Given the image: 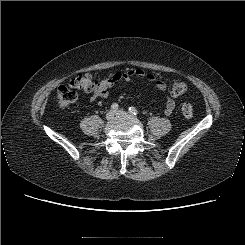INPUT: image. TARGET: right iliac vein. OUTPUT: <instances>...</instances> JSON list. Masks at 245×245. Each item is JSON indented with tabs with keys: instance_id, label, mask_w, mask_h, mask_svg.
<instances>
[{
	"instance_id": "right-iliac-vein-1",
	"label": "right iliac vein",
	"mask_w": 245,
	"mask_h": 245,
	"mask_svg": "<svg viewBox=\"0 0 245 245\" xmlns=\"http://www.w3.org/2000/svg\"><path fill=\"white\" fill-rule=\"evenodd\" d=\"M114 111H109V112H107V114H106V119L107 120H112L113 118H114Z\"/></svg>"
}]
</instances>
